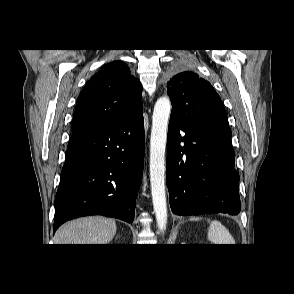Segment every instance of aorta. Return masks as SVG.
<instances>
[{
    "label": "aorta",
    "instance_id": "1",
    "mask_svg": "<svg viewBox=\"0 0 294 294\" xmlns=\"http://www.w3.org/2000/svg\"><path fill=\"white\" fill-rule=\"evenodd\" d=\"M171 102L167 97L159 98L154 106L150 138V185L157 226L166 230L167 203L165 192V149Z\"/></svg>",
    "mask_w": 294,
    "mask_h": 294
}]
</instances>
